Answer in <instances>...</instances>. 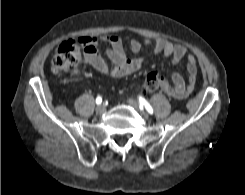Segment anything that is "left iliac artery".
Wrapping results in <instances>:
<instances>
[{
    "mask_svg": "<svg viewBox=\"0 0 245 195\" xmlns=\"http://www.w3.org/2000/svg\"><path fill=\"white\" fill-rule=\"evenodd\" d=\"M139 104H140V108L143 109V107H145V109L150 114H153V108L151 107V105L143 97H139Z\"/></svg>",
    "mask_w": 245,
    "mask_h": 195,
    "instance_id": "obj_1",
    "label": "left iliac artery"
}]
</instances>
